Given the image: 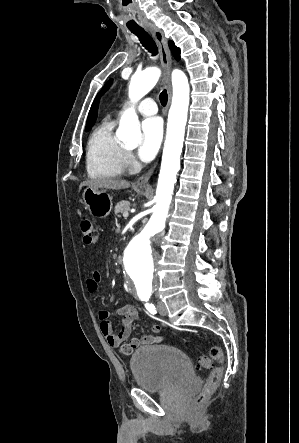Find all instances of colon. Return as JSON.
Wrapping results in <instances>:
<instances>
[{"label": "colon", "instance_id": "colon-1", "mask_svg": "<svg viewBox=\"0 0 299 443\" xmlns=\"http://www.w3.org/2000/svg\"><path fill=\"white\" fill-rule=\"evenodd\" d=\"M80 231L83 242L86 245H92L97 241V232L94 227L93 222L87 218L83 217L80 220ZM223 361V350L220 347H213L210 350V354L201 355L198 357L196 362L197 369H207L212 366L213 363H221ZM223 377V370L221 367L214 368L208 378L202 393L197 397V404H204L209 398L212 391L219 385Z\"/></svg>", "mask_w": 299, "mask_h": 443}]
</instances>
